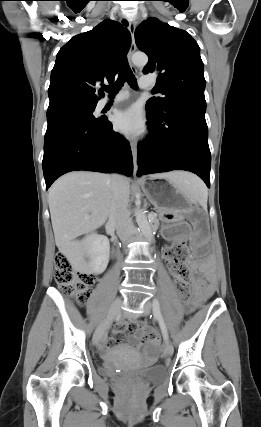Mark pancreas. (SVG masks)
<instances>
[{"instance_id":"pancreas-1","label":"pancreas","mask_w":261,"mask_h":427,"mask_svg":"<svg viewBox=\"0 0 261 427\" xmlns=\"http://www.w3.org/2000/svg\"><path fill=\"white\" fill-rule=\"evenodd\" d=\"M151 219L153 220V222H154L155 224H158L159 220H158V217H157V214H156V213H152V217H151Z\"/></svg>"}]
</instances>
